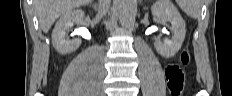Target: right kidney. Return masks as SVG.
Masks as SVG:
<instances>
[{
	"mask_svg": "<svg viewBox=\"0 0 232 96\" xmlns=\"http://www.w3.org/2000/svg\"><path fill=\"white\" fill-rule=\"evenodd\" d=\"M84 12L82 10L68 11L57 21L52 32V43L60 54H69L81 45V39L76 38L71 41L66 39V33L74 24L83 21Z\"/></svg>",
	"mask_w": 232,
	"mask_h": 96,
	"instance_id": "obj_1",
	"label": "right kidney"
}]
</instances>
